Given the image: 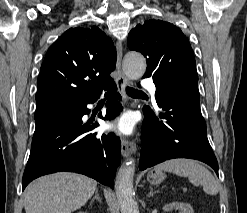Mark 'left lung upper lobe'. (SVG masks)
Here are the masks:
<instances>
[{
    "label": "left lung upper lobe",
    "mask_w": 247,
    "mask_h": 213,
    "mask_svg": "<svg viewBox=\"0 0 247 213\" xmlns=\"http://www.w3.org/2000/svg\"><path fill=\"white\" fill-rule=\"evenodd\" d=\"M127 40L130 50L147 59L144 78H153L156 102L163 96H174L200 103L193 50L179 28L153 19L137 25ZM143 112L151 114L153 110L144 107Z\"/></svg>",
    "instance_id": "1"
}]
</instances>
